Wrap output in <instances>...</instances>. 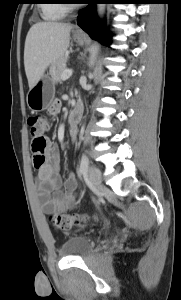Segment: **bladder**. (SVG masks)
Segmentation results:
<instances>
[{"mask_svg":"<svg viewBox=\"0 0 181 300\" xmlns=\"http://www.w3.org/2000/svg\"><path fill=\"white\" fill-rule=\"evenodd\" d=\"M92 250L91 240L87 237H78L67 242L64 252L71 257H84Z\"/></svg>","mask_w":181,"mask_h":300,"instance_id":"obj_1","label":"bladder"}]
</instances>
